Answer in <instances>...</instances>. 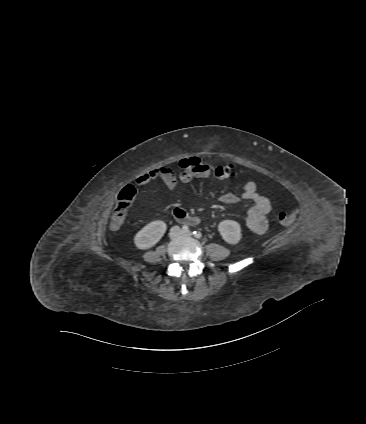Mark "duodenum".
Returning a JSON list of instances; mask_svg holds the SVG:
<instances>
[{
	"mask_svg": "<svg viewBox=\"0 0 366 424\" xmlns=\"http://www.w3.org/2000/svg\"><path fill=\"white\" fill-rule=\"evenodd\" d=\"M174 218L180 222V223H198V218L190 216L187 212H185L183 209L176 208L173 212Z\"/></svg>",
	"mask_w": 366,
	"mask_h": 424,
	"instance_id": "obj_1",
	"label": "duodenum"
}]
</instances>
